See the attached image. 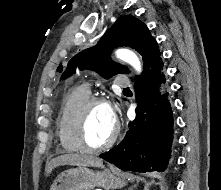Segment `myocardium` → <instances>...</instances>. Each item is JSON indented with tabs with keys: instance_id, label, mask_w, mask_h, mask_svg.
<instances>
[{
	"instance_id": "f54148a6",
	"label": "myocardium",
	"mask_w": 221,
	"mask_h": 190,
	"mask_svg": "<svg viewBox=\"0 0 221 190\" xmlns=\"http://www.w3.org/2000/svg\"><path fill=\"white\" fill-rule=\"evenodd\" d=\"M96 105H105L111 108L110 102L107 99L103 97H90L83 104H81V106L78 108L74 116L72 133L74 140L80 151L89 152V153L104 151L110 148L111 146H113V144L118 139L120 133V127L119 124L115 122L114 131L111 137L106 142L97 146H92L87 142L85 135L87 116L90 110Z\"/></svg>"
}]
</instances>
